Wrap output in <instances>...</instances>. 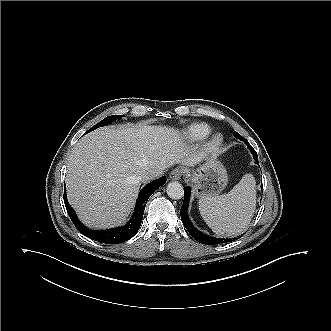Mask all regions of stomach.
<instances>
[{
	"label": "stomach",
	"instance_id": "1",
	"mask_svg": "<svg viewBox=\"0 0 331 331\" xmlns=\"http://www.w3.org/2000/svg\"><path fill=\"white\" fill-rule=\"evenodd\" d=\"M188 179L194 184L197 197L219 195L228 182L225 167L214 157H209L197 169L187 172Z\"/></svg>",
	"mask_w": 331,
	"mask_h": 331
}]
</instances>
